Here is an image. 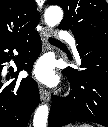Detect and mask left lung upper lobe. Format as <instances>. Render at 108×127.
Here are the masks:
<instances>
[{
  "label": "left lung upper lobe",
  "mask_w": 108,
  "mask_h": 127,
  "mask_svg": "<svg viewBox=\"0 0 108 127\" xmlns=\"http://www.w3.org/2000/svg\"><path fill=\"white\" fill-rule=\"evenodd\" d=\"M64 10L60 29H70L77 50L108 44V4L105 0H48Z\"/></svg>",
  "instance_id": "5c2ea615"
}]
</instances>
